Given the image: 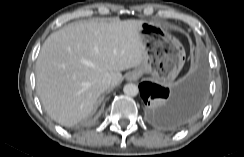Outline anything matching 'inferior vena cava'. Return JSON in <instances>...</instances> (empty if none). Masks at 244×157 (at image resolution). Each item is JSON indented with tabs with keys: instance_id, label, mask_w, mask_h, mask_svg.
<instances>
[{
	"instance_id": "inferior-vena-cava-1",
	"label": "inferior vena cava",
	"mask_w": 244,
	"mask_h": 157,
	"mask_svg": "<svg viewBox=\"0 0 244 157\" xmlns=\"http://www.w3.org/2000/svg\"><path fill=\"white\" fill-rule=\"evenodd\" d=\"M111 81H112V76H111L110 74H106V75L104 76V78H103V82H104L105 84H110Z\"/></svg>"
}]
</instances>
